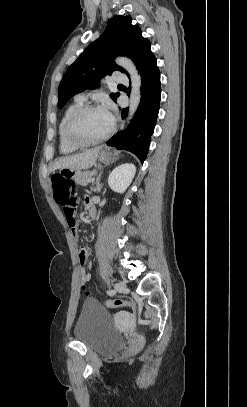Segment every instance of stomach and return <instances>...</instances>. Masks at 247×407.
<instances>
[{
    "label": "stomach",
    "instance_id": "0dacf381",
    "mask_svg": "<svg viewBox=\"0 0 247 407\" xmlns=\"http://www.w3.org/2000/svg\"><path fill=\"white\" fill-rule=\"evenodd\" d=\"M112 159L111 153L107 150L101 151L99 154V160L101 162H108ZM59 173L61 178H78L80 170L78 166H60Z\"/></svg>",
    "mask_w": 247,
    "mask_h": 407
}]
</instances>
